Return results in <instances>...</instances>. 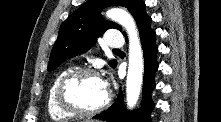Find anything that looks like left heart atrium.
I'll return each instance as SVG.
<instances>
[{"instance_id":"left-heart-atrium-1","label":"left heart atrium","mask_w":221,"mask_h":122,"mask_svg":"<svg viewBox=\"0 0 221 122\" xmlns=\"http://www.w3.org/2000/svg\"><path fill=\"white\" fill-rule=\"evenodd\" d=\"M102 81H103L104 87L107 89V87H108V82H107L106 80H102Z\"/></svg>"}]
</instances>
